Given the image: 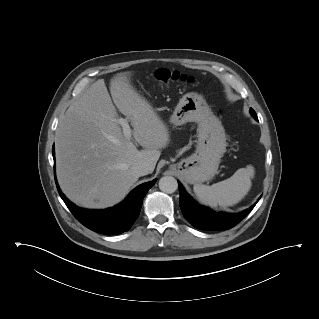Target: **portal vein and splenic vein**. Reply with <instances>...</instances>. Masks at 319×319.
I'll list each match as a JSON object with an SVG mask.
<instances>
[{"mask_svg":"<svg viewBox=\"0 0 319 319\" xmlns=\"http://www.w3.org/2000/svg\"><path fill=\"white\" fill-rule=\"evenodd\" d=\"M118 123L122 126L124 136L126 138L130 139L131 135H132V130L128 124V120L120 118V119H118Z\"/></svg>","mask_w":319,"mask_h":319,"instance_id":"18ae733b","label":"portal vein and splenic vein"}]
</instances>
